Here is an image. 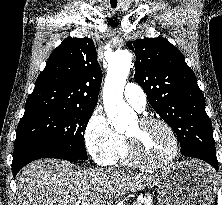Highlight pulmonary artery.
Returning <instances> with one entry per match:
<instances>
[{
  "instance_id": "pulmonary-artery-1",
  "label": "pulmonary artery",
  "mask_w": 222,
  "mask_h": 205,
  "mask_svg": "<svg viewBox=\"0 0 222 205\" xmlns=\"http://www.w3.org/2000/svg\"><path fill=\"white\" fill-rule=\"evenodd\" d=\"M125 100L135 109L142 111L146 105V95L143 89L134 83H128L124 89Z\"/></svg>"
}]
</instances>
